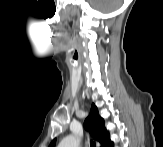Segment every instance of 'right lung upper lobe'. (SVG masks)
I'll return each mask as SVG.
<instances>
[{
    "instance_id": "cb5924a9",
    "label": "right lung upper lobe",
    "mask_w": 163,
    "mask_h": 147,
    "mask_svg": "<svg viewBox=\"0 0 163 147\" xmlns=\"http://www.w3.org/2000/svg\"><path fill=\"white\" fill-rule=\"evenodd\" d=\"M85 126L88 127L93 138L98 141L102 147H106L111 142L109 133L105 128L104 119L100 117L95 104H92L90 114L85 120ZM55 143L56 139L51 142L50 147H54Z\"/></svg>"
}]
</instances>
